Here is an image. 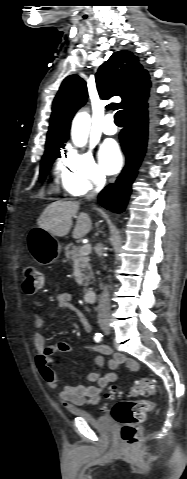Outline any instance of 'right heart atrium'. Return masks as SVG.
<instances>
[{
  "mask_svg": "<svg viewBox=\"0 0 187 479\" xmlns=\"http://www.w3.org/2000/svg\"><path fill=\"white\" fill-rule=\"evenodd\" d=\"M56 174L63 192L80 197L100 190L107 176L91 152L67 149L58 159Z\"/></svg>",
  "mask_w": 187,
  "mask_h": 479,
  "instance_id": "obj_1",
  "label": "right heart atrium"
}]
</instances>
